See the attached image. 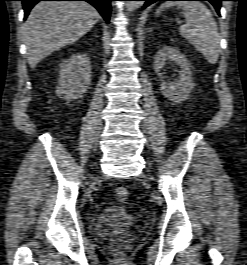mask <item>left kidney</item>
<instances>
[{"instance_id":"obj_1","label":"left kidney","mask_w":247,"mask_h":265,"mask_svg":"<svg viewBox=\"0 0 247 265\" xmlns=\"http://www.w3.org/2000/svg\"><path fill=\"white\" fill-rule=\"evenodd\" d=\"M166 61H174L179 67V80L165 82L163 80V68ZM154 69L161 78V92L171 101L182 102L187 99L194 87L191 73V64L177 49L171 46H164L154 58Z\"/></svg>"}]
</instances>
